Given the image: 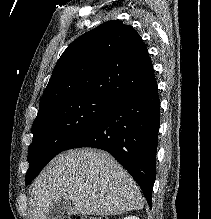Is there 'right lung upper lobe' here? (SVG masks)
I'll list each match as a JSON object with an SVG mask.
<instances>
[{
    "mask_svg": "<svg viewBox=\"0 0 211 219\" xmlns=\"http://www.w3.org/2000/svg\"><path fill=\"white\" fill-rule=\"evenodd\" d=\"M154 77L137 31L119 20L105 22L64 51L42 95L37 117L50 106L75 98L100 97L115 103Z\"/></svg>",
    "mask_w": 211,
    "mask_h": 219,
    "instance_id": "cb5924a9",
    "label": "right lung upper lobe"
}]
</instances>
